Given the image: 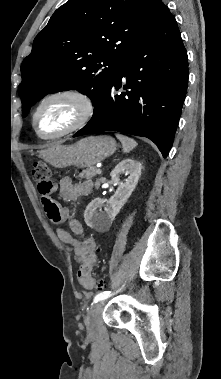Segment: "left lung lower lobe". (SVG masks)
Here are the masks:
<instances>
[{"label": "left lung lower lobe", "instance_id": "left-lung-lower-lobe-1", "mask_svg": "<svg viewBox=\"0 0 221 379\" xmlns=\"http://www.w3.org/2000/svg\"><path fill=\"white\" fill-rule=\"evenodd\" d=\"M127 82L123 89L121 79ZM188 85L187 52L167 6L100 92L94 114L73 137L102 131L144 136L163 157L172 147Z\"/></svg>", "mask_w": 221, "mask_h": 379}]
</instances>
